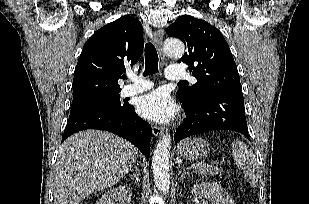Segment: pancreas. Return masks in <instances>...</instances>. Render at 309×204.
<instances>
[{
  "instance_id": "1",
  "label": "pancreas",
  "mask_w": 309,
  "mask_h": 204,
  "mask_svg": "<svg viewBox=\"0 0 309 204\" xmlns=\"http://www.w3.org/2000/svg\"><path fill=\"white\" fill-rule=\"evenodd\" d=\"M194 173L201 176H213L222 172V169L206 163H199L192 167Z\"/></svg>"
}]
</instances>
